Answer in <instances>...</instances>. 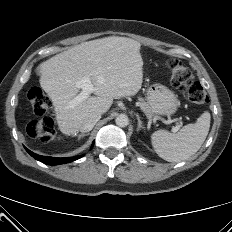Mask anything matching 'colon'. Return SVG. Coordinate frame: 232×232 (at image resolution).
I'll return each mask as SVG.
<instances>
[{
    "label": "colon",
    "instance_id": "1",
    "mask_svg": "<svg viewBox=\"0 0 232 232\" xmlns=\"http://www.w3.org/2000/svg\"><path fill=\"white\" fill-rule=\"evenodd\" d=\"M171 74V83L178 90L186 93L187 99L192 104H205L209 98L203 86L195 80L191 70L181 61L172 59L167 63ZM34 112L38 115L45 114L51 107V101L39 87H32L27 94ZM29 137L42 142H49L55 137L54 122L44 117L31 121L26 128Z\"/></svg>",
    "mask_w": 232,
    "mask_h": 232
}]
</instances>
